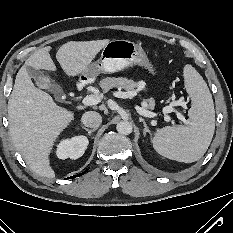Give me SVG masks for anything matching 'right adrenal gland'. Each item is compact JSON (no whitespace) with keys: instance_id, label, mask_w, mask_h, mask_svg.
Returning a JSON list of instances; mask_svg holds the SVG:
<instances>
[{"instance_id":"2a0ac1e0","label":"right adrenal gland","mask_w":233,"mask_h":233,"mask_svg":"<svg viewBox=\"0 0 233 233\" xmlns=\"http://www.w3.org/2000/svg\"><path fill=\"white\" fill-rule=\"evenodd\" d=\"M82 129L88 132V135L90 136L92 132L96 131V129H88L85 126L81 125Z\"/></svg>"}]
</instances>
